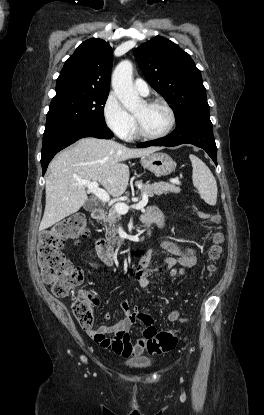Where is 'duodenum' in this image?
I'll list each match as a JSON object with an SVG mask.
<instances>
[{
  "label": "duodenum",
  "instance_id": "410a0bca",
  "mask_svg": "<svg viewBox=\"0 0 264 415\" xmlns=\"http://www.w3.org/2000/svg\"><path fill=\"white\" fill-rule=\"evenodd\" d=\"M106 216V208L103 205H97L92 210V218L96 223H102ZM142 233L139 240H135V243H142L149 237L147 231V220L141 219ZM95 248L97 255L101 261L107 265H114L117 261V253L112 249L110 243L102 236H98L95 240Z\"/></svg>",
  "mask_w": 264,
  "mask_h": 415
}]
</instances>
